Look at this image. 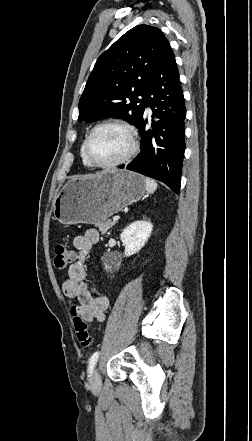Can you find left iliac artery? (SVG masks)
<instances>
[{"mask_svg": "<svg viewBox=\"0 0 252 441\" xmlns=\"http://www.w3.org/2000/svg\"><path fill=\"white\" fill-rule=\"evenodd\" d=\"M98 358H99V352L96 351L95 353H93V355L91 356V358L89 360V366H88L89 377L92 374V371H93V369L95 367V364H96Z\"/></svg>", "mask_w": 252, "mask_h": 441, "instance_id": "1", "label": "left iliac artery"}]
</instances>
